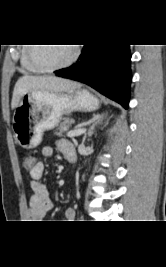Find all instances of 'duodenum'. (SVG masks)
<instances>
[{
	"label": "duodenum",
	"mask_w": 166,
	"mask_h": 267,
	"mask_svg": "<svg viewBox=\"0 0 166 267\" xmlns=\"http://www.w3.org/2000/svg\"><path fill=\"white\" fill-rule=\"evenodd\" d=\"M70 161H71V162H74V161H75V159H74V158H71V159H70Z\"/></svg>",
	"instance_id": "obj_1"
}]
</instances>
